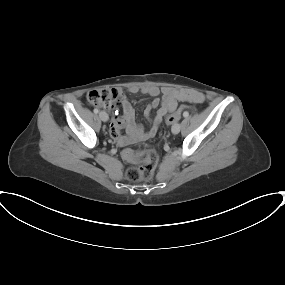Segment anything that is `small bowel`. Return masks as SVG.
Returning a JSON list of instances; mask_svg holds the SVG:
<instances>
[{"instance_id":"1","label":"small bowel","mask_w":285,"mask_h":285,"mask_svg":"<svg viewBox=\"0 0 285 285\" xmlns=\"http://www.w3.org/2000/svg\"><path fill=\"white\" fill-rule=\"evenodd\" d=\"M118 95L119 102L123 109V116H114L111 124V135L117 138L120 144H131L138 141H144L152 138L158 131L163 119L169 113L176 110L179 102H187L200 104L204 101L203 94L191 90H177L172 88L160 89L155 85L144 86L141 89L138 87H130V93L140 91L145 95L153 97V100L145 107L144 115L150 121L151 127L148 131L144 130L143 126L135 121V110L127 96L120 89H113ZM162 94V98L159 95ZM154 109H157L156 115L151 116ZM125 129L127 135L120 136V130Z\"/></svg>"}]
</instances>
